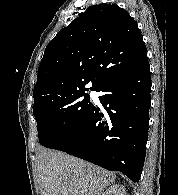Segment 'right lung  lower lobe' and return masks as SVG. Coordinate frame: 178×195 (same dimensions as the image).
Here are the masks:
<instances>
[{"instance_id":"right-lung-lower-lobe-1","label":"right lung lower lobe","mask_w":178,"mask_h":195,"mask_svg":"<svg viewBox=\"0 0 178 195\" xmlns=\"http://www.w3.org/2000/svg\"><path fill=\"white\" fill-rule=\"evenodd\" d=\"M106 92L54 147L133 182L140 179L148 139L151 77L148 61L101 86Z\"/></svg>"}]
</instances>
